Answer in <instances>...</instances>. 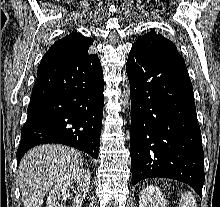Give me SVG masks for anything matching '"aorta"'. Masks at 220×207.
<instances>
[{
  "mask_svg": "<svg viewBox=\"0 0 220 207\" xmlns=\"http://www.w3.org/2000/svg\"><path fill=\"white\" fill-rule=\"evenodd\" d=\"M130 94V90H129V87H127L126 89V96H128Z\"/></svg>",
  "mask_w": 220,
  "mask_h": 207,
  "instance_id": "762f6f07",
  "label": "aorta"
}]
</instances>
